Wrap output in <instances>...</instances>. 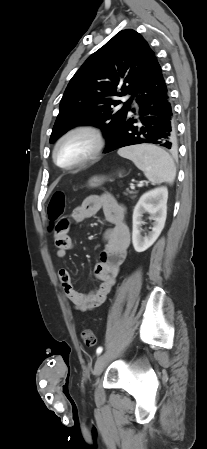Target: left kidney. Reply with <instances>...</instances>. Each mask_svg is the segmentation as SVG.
<instances>
[{"instance_id": "1", "label": "left kidney", "mask_w": 207, "mask_h": 449, "mask_svg": "<svg viewBox=\"0 0 207 449\" xmlns=\"http://www.w3.org/2000/svg\"><path fill=\"white\" fill-rule=\"evenodd\" d=\"M168 190L166 187H159L143 194L133 211L132 243L136 252H144L157 240L161 234L167 216ZM152 215V230L141 236V225L143 224V213Z\"/></svg>"}]
</instances>
